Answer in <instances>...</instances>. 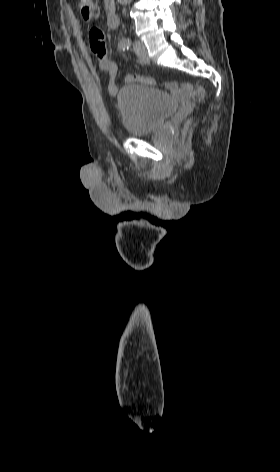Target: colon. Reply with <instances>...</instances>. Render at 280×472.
Masks as SVG:
<instances>
[{
    "mask_svg": "<svg viewBox=\"0 0 280 472\" xmlns=\"http://www.w3.org/2000/svg\"><path fill=\"white\" fill-rule=\"evenodd\" d=\"M78 5H79L82 20L84 22L89 23L96 18L97 13H98V8H97V5L93 2V0H78ZM132 79L133 81L146 84V85H152V86L163 85L171 89L184 90L188 92L195 101H202L205 98V89L203 86L199 84L180 83L177 81H169V82H164L161 84L153 78L138 75V74H134L132 76Z\"/></svg>",
    "mask_w": 280,
    "mask_h": 472,
    "instance_id": "5ec220e1",
    "label": "colon"
}]
</instances>
